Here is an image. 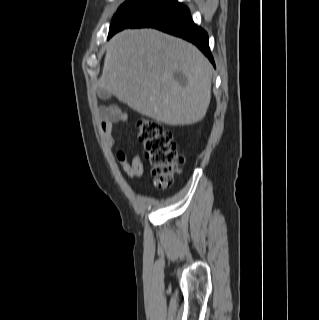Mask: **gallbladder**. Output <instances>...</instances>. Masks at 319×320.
Returning a JSON list of instances; mask_svg holds the SVG:
<instances>
[{
    "mask_svg": "<svg viewBox=\"0 0 319 320\" xmlns=\"http://www.w3.org/2000/svg\"><path fill=\"white\" fill-rule=\"evenodd\" d=\"M98 95L101 99H109L111 97V93H109L108 91H106L103 88H100L98 91Z\"/></svg>",
    "mask_w": 319,
    "mask_h": 320,
    "instance_id": "obj_1",
    "label": "gallbladder"
}]
</instances>
